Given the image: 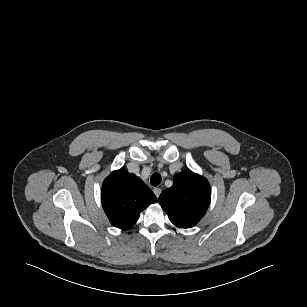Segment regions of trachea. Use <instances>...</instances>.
Wrapping results in <instances>:
<instances>
[{"instance_id":"3493384b","label":"trachea","mask_w":307,"mask_h":307,"mask_svg":"<svg viewBox=\"0 0 307 307\" xmlns=\"http://www.w3.org/2000/svg\"><path fill=\"white\" fill-rule=\"evenodd\" d=\"M161 180V175L159 173H154L150 178V183L152 186H158L161 183Z\"/></svg>"}]
</instances>
